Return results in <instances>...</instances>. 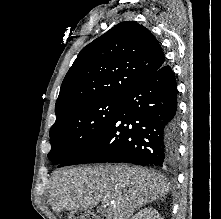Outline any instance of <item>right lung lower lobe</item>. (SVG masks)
Masks as SVG:
<instances>
[{"label": "right lung lower lobe", "instance_id": "right-lung-lower-lobe-1", "mask_svg": "<svg viewBox=\"0 0 221 219\" xmlns=\"http://www.w3.org/2000/svg\"><path fill=\"white\" fill-rule=\"evenodd\" d=\"M176 88L174 73L164 64L129 89L98 136L59 167L94 162L172 167L180 135Z\"/></svg>", "mask_w": 221, "mask_h": 219}]
</instances>
